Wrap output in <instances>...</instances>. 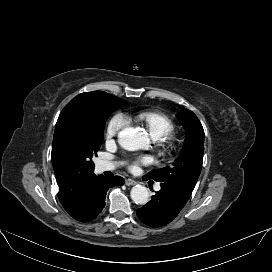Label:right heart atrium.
Segmentation results:
<instances>
[{
	"label": "right heart atrium",
	"instance_id": "d8ad5b80",
	"mask_svg": "<svg viewBox=\"0 0 272 272\" xmlns=\"http://www.w3.org/2000/svg\"><path fill=\"white\" fill-rule=\"evenodd\" d=\"M128 122L129 119L125 114L121 112L114 114L106 126V139H113Z\"/></svg>",
	"mask_w": 272,
	"mask_h": 272
}]
</instances>
